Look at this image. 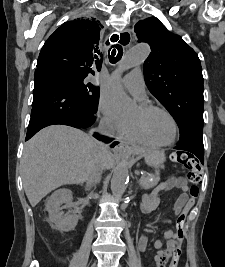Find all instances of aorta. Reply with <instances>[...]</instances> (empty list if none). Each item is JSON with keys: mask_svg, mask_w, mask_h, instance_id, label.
Listing matches in <instances>:
<instances>
[{"mask_svg": "<svg viewBox=\"0 0 225 267\" xmlns=\"http://www.w3.org/2000/svg\"><path fill=\"white\" fill-rule=\"evenodd\" d=\"M150 48L146 44H137L129 49L125 57L119 61L114 73V79L106 90L107 99L120 111L128 109L132 101L126 95L122 85L116 80L123 72L140 65L149 55ZM129 180V170L126 164L118 165L111 178L113 196L121 200Z\"/></svg>", "mask_w": 225, "mask_h": 267, "instance_id": "aorta-1", "label": "aorta"}]
</instances>
